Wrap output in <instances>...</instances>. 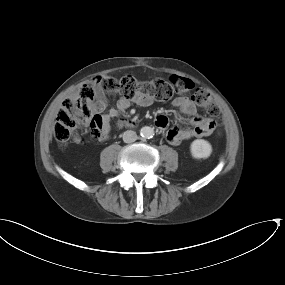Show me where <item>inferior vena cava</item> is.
Segmentation results:
<instances>
[{
	"mask_svg": "<svg viewBox=\"0 0 285 285\" xmlns=\"http://www.w3.org/2000/svg\"><path fill=\"white\" fill-rule=\"evenodd\" d=\"M137 140V134L135 131L127 130L123 133V141L125 143H132Z\"/></svg>",
	"mask_w": 285,
	"mask_h": 285,
	"instance_id": "obj_1",
	"label": "inferior vena cava"
}]
</instances>
